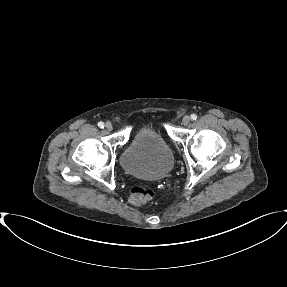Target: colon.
<instances>
[{"instance_id":"obj_1","label":"colon","mask_w":287,"mask_h":287,"mask_svg":"<svg viewBox=\"0 0 287 287\" xmlns=\"http://www.w3.org/2000/svg\"><path fill=\"white\" fill-rule=\"evenodd\" d=\"M154 197V192L152 189L137 185L134 186L130 191V202L135 206H143L148 204Z\"/></svg>"}]
</instances>
